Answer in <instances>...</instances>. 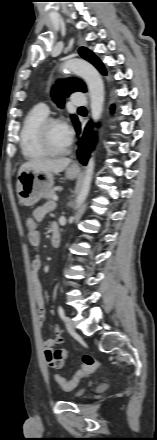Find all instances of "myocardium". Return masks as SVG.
<instances>
[{"label": "myocardium", "instance_id": "1", "mask_svg": "<svg viewBox=\"0 0 157 440\" xmlns=\"http://www.w3.org/2000/svg\"><path fill=\"white\" fill-rule=\"evenodd\" d=\"M53 124H60V121L55 118H46L44 121L40 123L37 128L36 136L39 145L46 151L49 155L60 156L65 155L71 150V142L64 149H54L49 141L48 130L49 127Z\"/></svg>", "mask_w": 157, "mask_h": 440}]
</instances>
